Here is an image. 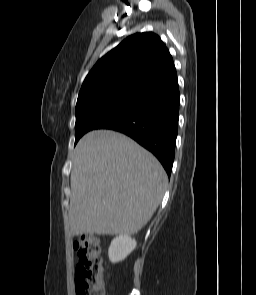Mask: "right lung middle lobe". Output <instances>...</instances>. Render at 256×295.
<instances>
[{
    "instance_id": "right-lung-middle-lobe-1",
    "label": "right lung middle lobe",
    "mask_w": 256,
    "mask_h": 295,
    "mask_svg": "<svg viewBox=\"0 0 256 295\" xmlns=\"http://www.w3.org/2000/svg\"><path fill=\"white\" fill-rule=\"evenodd\" d=\"M135 96L136 92H128L90 105L76 104L75 144L86 132L98 129L103 123L120 113Z\"/></svg>"
}]
</instances>
